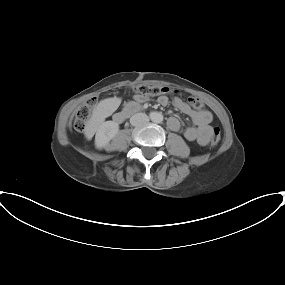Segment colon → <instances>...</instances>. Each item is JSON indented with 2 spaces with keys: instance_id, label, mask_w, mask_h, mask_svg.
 I'll return each instance as SVG.
<instances>
[{
  "instance_id": "5ec220e1",
  "label": "colon",
  "mask_w": 285,
  "mask_h": 285,
  "mask_svg": "<svg viewBox=\"0 0 285 285\" xmlns=\"http://www.w3.org/2000/svg\"><path fill=\"white\" fill-rule=\"evenodd\" d=\"M132 91L142 97H151L164 95L170 92V89L166 86L139 84L132 88ZM189 104L194 109H202L204 107L203 101L198 97H189ZM96 104V99L92 98L88 100L82 107L79 108L75 115L74 127L77 131L82 132L85 129L86 122L88 121L92 108ZM221 139V130L219 127L211 128V145L216 146Z\"/></svg>"
}]
</instances>
